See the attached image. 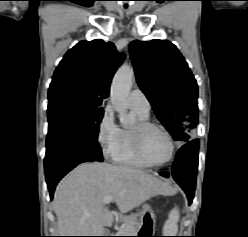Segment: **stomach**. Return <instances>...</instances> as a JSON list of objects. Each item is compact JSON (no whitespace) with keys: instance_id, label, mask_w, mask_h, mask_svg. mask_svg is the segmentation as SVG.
<instances>
[{"instance_id":"stomach-1","label":"stomach","mask_w":248,"mask_h":237,"mask_svg":"<svg viewBox=\"0 0 248 237\" xmlns=\"http://www.w3.org/2000/svg\"><path fill=\"white\" fill-rule=\"evenodd\" d=\"M152 210H151V207L148 205V204H145L144 206H143V208H142V212H141V214H142V216H144L145 214H146V212H151Z\"/></svg>"}]
</instances>
